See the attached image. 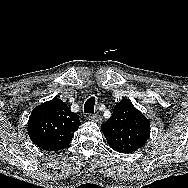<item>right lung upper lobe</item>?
Listing matches in <instances>:
<instances>
[{"label":"right lung upper lobe","instance_id":"cb5924a9","mask_svg":"<svg viewBox=\"0 0 188 188\" xmlns=\"http://www.w3.org/2000/svg\"><path fill=\"white\" fill-rule=\"evenodd\" d=\"M77 114L60 99L54 98L34 108L28 122V135L38 147L58 151L66 147L78 129Z\"/></svg>","mask_w":188,"mask_h":188}]
</instances>
